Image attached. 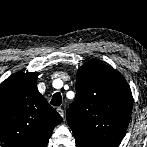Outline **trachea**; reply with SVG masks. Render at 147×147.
I'll list each match as a JSON object with an SVG mask.
<instances>
[{"mask_svg":"<svg viewBox=\"0 0 147 147\" xmlns=\"http://www.w3.org/2000/svg\"><path fill=\"white\" fill-rule=\"evenodd\" d=\"M62 103V96L60 92H56L53 97L52 100L50 101V104L53 106H59Z\"/></svg>","mask_w":147,"mask_h":147,"instance_id":"3493384b","label":"trachea"}]
</instances>
